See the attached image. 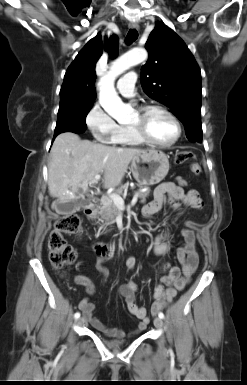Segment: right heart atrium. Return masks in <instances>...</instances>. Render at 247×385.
I'll return each instance as SVG.
<instances>
[{
    "instance_id": "1",
    "label": "right heart atrium",
    "mask_w": 247,
    "mask_h": 385,
    "mask_svg": "<svg viewBox=\"0 0 247 385\" xmlns=\"http://www.w3.org/2000/svg\"><path fill=\"white\" fill-rule=\"evenodd\" d=\"M85 122L92 136L97 141L115 144L119 132V125L99 103H95L90 108L86 115Z\"/></svg>"
}]
</instances>
